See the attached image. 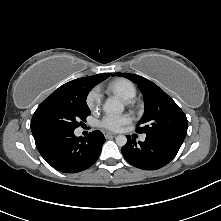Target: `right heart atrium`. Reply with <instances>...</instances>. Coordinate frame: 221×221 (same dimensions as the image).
I'll return each instance as SVG.
<instances>
[{"instance_id":"obj_1","label":"right heart atrium","mask_w":221,"mask_h":221,"mask_svg":"<svg viewBox=\"0 0 221 221\" xmlns=\"http://www.w3.org/2000/svg\"><path fill=\"white\" fill-rule=\"evenodd\" d=\"M101 92L99 88L95 87L89 91L86 96V104L90 110L97 109L101 104Z\"/></svg>"}]
</instances>
